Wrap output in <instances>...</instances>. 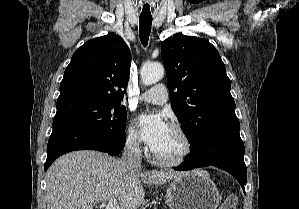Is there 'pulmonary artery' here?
<instances>
[{
    "mask_svg": "<svg viewBox=\"0 0 299 209\" xmlns=\"http://www.w3.org/2000/svg\"><path fill=\"white\" fill-rule=\"evenodd\" d=\"M138 100L141 102L161 105L168 100V90L163 84H157L142 92L138 96Z\"/></svg>",
    "mask_w": 299,
    "mask_h": 209,
    "instance_id": "e3ab8cb5",
    "label": "pulmonary artery"
}]
</instances>
